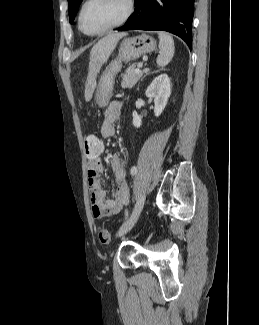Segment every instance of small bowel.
I'll use <instances>...</instances> for the list:
<instances>
[{"label":"small bowel","instance_id":"c3829d8e","mask_svg":"<svg viewBox=\"0 0 259 325\" xmlns=\"http://www.w3.org/2000/svg\"><path fill=\"white\" fill-rule=\"evenodd\" d=\"M121 101H112L104 112L100 134L102 138H109L115 134V123L119 119L122 110ZM98 138V137H97ZM104 145V144H103ZM103 150L86 152L88 161L87 181L89 186V198L91 211L96 219H102L116 215L129 203V185L126 179L124 159L121 154L115 153L110 158V165L116 181V191L109 198L105 189L99 182V175L103 171L100 159Z\"/></svg>","mask_w":259,"mask_h":325}]
</instances>
